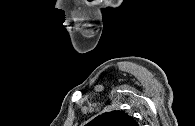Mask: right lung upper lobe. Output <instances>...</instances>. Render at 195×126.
<instances>
[{
  "mask_svg": "<svg viewBox=\"0 0 195 126\" xmlns=\"http://www.w3.org/2000/svg\"><path fill=\"white\" fill-rule=\"evenodd\" d=\"M86 126H138L136 121L122 111H111L97 116Z\"/></svg>",
  "mask_w": 195,
  "mask_h": 126,
  "instance_id": "cb5924a9",
  "label": "right lung upper lobe"
}]
</instances>
